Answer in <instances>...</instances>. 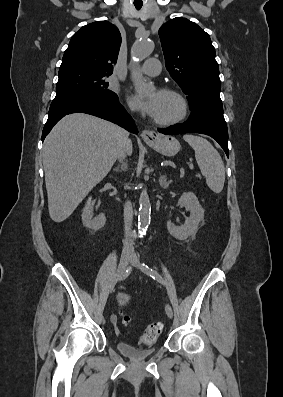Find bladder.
I'll return each instance as SVG.
<instances>
[{
    "label": "bladder",
    "mask_w": 283,
    "mask_h": 397,
    "mask_svg": "<svg viewBox=\"0 0 283 397\" xmlns=\"http://www.w3.org/2000/svg\"><path fill=\"white\" fill-rule=\"evenodd\" d=\"M115 348L120 354L136 361L144 360L157 351L155 343L150 347L140 348L127 342L120 341L116 343Z\"/></svg>",
    "instance_id": "1"
}]
</instances>
